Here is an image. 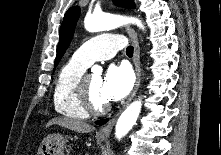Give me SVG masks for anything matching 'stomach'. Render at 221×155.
<instances>
[{
	"label": "stomach",
	"instance_id": "stomach-1",
	"mask_svg": "<svg viewBox=\"0 0 221 155\" xmlns=\"http://www.w3.org/2000/svg\"><path fill=\"white\" fill-rule=\"evenodd\" d=\"M98 141L106 140V137H98ZM67 140L61 134L48 135L42 141L37 155H64Z\"/></svg>",
	"mask_w": 221,
	"mask_h": 155
}]
</instances>
